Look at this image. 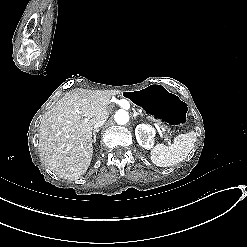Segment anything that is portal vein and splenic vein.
I'll use <instances>...</instances> for the list:
<instances>
[{
	"instance_id": "portal-vein-and-splenic-vein-1",
	"label": "portal vein and splenic vein",
	"mask_w": 247,
	"mask_h": 247,
	"mask_svg": "<svg viewBox=\"0 0 247 247\" xmlns=\"http://www.w3.org/2000/svg\"><path fill=\"white\" fill-rule=\"evenodd\" d=\"M156 130L159 132V136H161V138H164V134L161 131V128L158 125H155ZM166 143L170 146H173V143L170 142V140H166Z\"/></svg>"
}]
</instances>
